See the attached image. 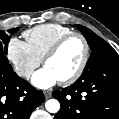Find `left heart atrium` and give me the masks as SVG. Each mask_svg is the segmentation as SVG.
Segmentation results:
<instances>
[{"label": "left heart atrium", "instance_id": "obj_1", "mask_svg": "<svg viewBox=\"0 0 119 119\" xmlns=\"http://www.w3.org/2000/svg\"><path fill=\"white\" fill-rule=\"evenodd\" d=\"M58 81L57 76L47 67L38 70L32 77V83L42 89L49 88Z\"/></svg>", "mask_w": 119, "mask_h": 119}]
</instances>
